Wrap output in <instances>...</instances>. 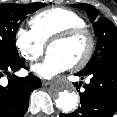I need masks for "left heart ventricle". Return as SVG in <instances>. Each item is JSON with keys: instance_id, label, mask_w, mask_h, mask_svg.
<instances>
[{"instance_id": "1", "label": "left heart ventricle", "mask_w": 117, "mask_h": 117, "mask_svg": "<svg viewBox=\"0 0 117 117\" xmlns=\"http://www.w3.org/2000/svg\"><path fill=\"white\" fill-rule=\"evenodd\" d=\"M87 49V40L84 37L76 38L65 43L52 45L48 52L60 56L66 60L70 66L78 62Z\"/></svg>"}]
</instances>
